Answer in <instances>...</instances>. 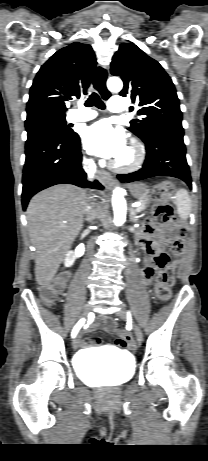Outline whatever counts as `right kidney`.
I'll use <instances>...</instances> for the list:
<instances>
[{
  "label": "right kidney",
  "mask_w": 208,
  "mask_h": 461,
  "mask_svg": "<svg viewBox=\"0 0 208 461\" xmlns=\"http://www.w3.org/2000/svg\"><path fill=\"white\" fill-rule=\"evenodd\" d=\"M84 245H79L75 252L74 251H68L66 253L65 259H64V265L65 267H71L76 259V255H83L84 254Z\"/></svg>",
  "instance_id": "1"
}]
</instances>
